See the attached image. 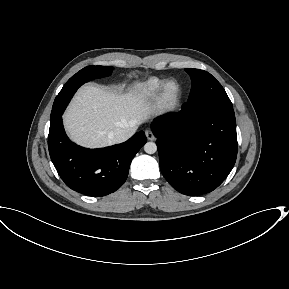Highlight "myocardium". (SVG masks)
I'll return each instance as SVG.
<instances>
[{"label":"myocardium","instance_id":"myocardium-1","mask_svg":"<svg viewBox=\"0 0 289 289\" xmlns=\"http://www.w3.org/2000/svg\"><path fill=\"white\" fill-rule=\"evenodd\" d=\"M171 85H174V91H169V87ZM180 94L181 86L179 82L175 79H168L164 81L159 90L160 99L164 102H173L179 98Z\"/></svg>","mask_w":289,"mask_h":289}]
</instances>
